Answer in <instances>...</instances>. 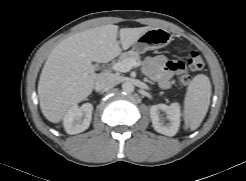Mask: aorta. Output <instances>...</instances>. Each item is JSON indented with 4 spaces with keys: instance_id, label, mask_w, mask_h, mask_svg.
<instances>
[{
    "instance_id": "aorta-1",
    "label": "aorta",
    "mask_w": 246,
    "mask_h": 181,
    "mask_svg": "<svg viewBox=\"0 0 246 181\" xmlns=\"http://www.w3.org/2000/svg\"><path fill=\"white\" fill-rule=\"evenodd\" d=\"M122 90L126 93H132L134 91V84L130 81H125L122 84Z\"/></svg>"
}]
</instances>
